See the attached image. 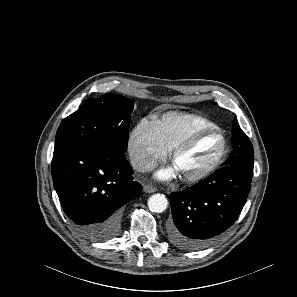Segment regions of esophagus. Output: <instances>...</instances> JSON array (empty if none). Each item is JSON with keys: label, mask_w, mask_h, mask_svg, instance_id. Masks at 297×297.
<instances>
[{"label": "esophagus", "mask_w": 297, "mask_h": 297, "mask_svg": "<svg viewBox=\"0 0 297 297\" xmlns=\"http://www.w3.org/2000/svg\"><path fill=\"white\" fill-rule=\"evenodd\" d=\"M143 191L146 192V193H153V192L156 191V188L154 186H152V185L146 184V185L143 186Z\"/></svg>", "instance_id": "obj_1"}]
</instances>
